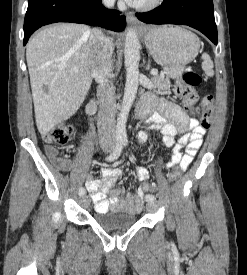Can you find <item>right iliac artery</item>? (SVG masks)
I'll list each match as a JSON object with an SVG mask.
<instances>
[{"instance_id": "right-iliac-artery-1", "label": "right iliac artery", "mask_w": 247, "mask_h": 275, "mask_svg": "<svg viewBox=\"0 0 247 275\" xmlns=\"http://www.w3.org/2000/svg\"><path fill=\"white\" fill-rule=\"evenodd\" d=\"M122 148H123V142H117L115 149L113 150V152L106 158L107 161H114L115 159H117L121 152H122ZM85 194V189L83 187H81L79 189V195L83 196Z\"/></svg>"}]
</instances>
